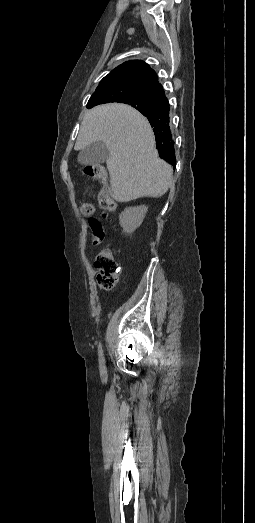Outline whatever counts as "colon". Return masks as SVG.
Wrapping results in <instances>:
<instances>
[{
    "instance_id": "1",
    "label": "colon",
    "mask_w": 255,
    "mask_h": 523,
    "mask_svg": "<svg viewBox=\"0 0 255 523\" xmlns=\"http://www.w3.org/2000/svg\"><path fill=\"white\" fill-rule=\"evenodd\" d=\"M85 173L91 179L99 181L102 188L98 194V203L106 215L115 212L116 203L110 195L107 184V169L103 165H93L85 169ZM80 212L83 216L92 219L95 212V206L90 202H85L80 206ZM94 265L97 269V281L99 286L104 290H109L118 281L119 266L115 261L112 251L103 248L96 256Z\"/></svg>"
}]
</instances>
